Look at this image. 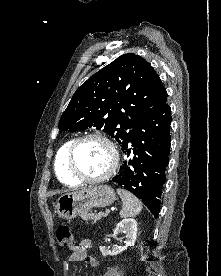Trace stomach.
Returning <instances> with one entry per match:
<instances>
[{"mask_svg": "<svg viewBox=\"0 0 221 276\" xmlns=\"http://www.w3.org/2000/svg\"><path fill=\"white\" fill-rule=\"evenodd\" d=\"M115 200L116 194L110 186L99 185L62 195L57 200L56 211L60 218L73 219L94 207H107Z\"/></svg>", "mask_w": 221, "mask_h": 276, "instance_id": "obj_1", "label": "stomach"}]
</instances>
